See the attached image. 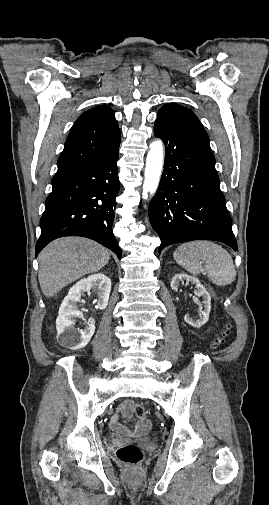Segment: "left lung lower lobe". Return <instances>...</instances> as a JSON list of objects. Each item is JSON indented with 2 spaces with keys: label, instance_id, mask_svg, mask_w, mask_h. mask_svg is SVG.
I'll return each instance as SVG.
<instances>
[{
  "label": "left lung lower lobe",
  "instance_id": "left-lung-lower-lobe-1",
  "mask_svg": "<svg viewBox=\"0 0 269 505\" xmlns=\"http://www.w3.org/2000/svg\"><path fill=\"white\" fill-rule=\"evenodd\" d=\"M154 135L166 145L160 185L149 207L151 225L161 239L159 253L168 245L198 239L219 241L236 251L215 158L200 121L158 116Z\"/></svg>",
  "mask_w": 269,
  "mask_h": 505
}]
</instances>
